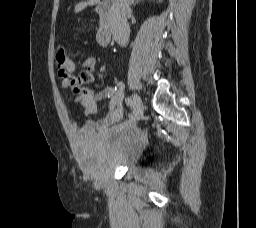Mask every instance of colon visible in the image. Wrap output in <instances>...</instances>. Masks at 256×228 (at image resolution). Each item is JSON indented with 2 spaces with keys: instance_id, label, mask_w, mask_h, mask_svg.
I'll return each mask as SVG.
<instances>
[{
  "instance_id": "colon-1",
  "label": "colon",
  "mask_w": 256,
  "mask_h": 228,
  "mask_svg": "<svg viewBox=\"0 0 256 228\" xmlns=\"http://www.w3.org/2000/svg\"><path fill=\"white\" fill-rule=\"evenodd\" d=\"M55 59H56L58 66H61L67 62V60L69 59V56L64 47L57 46L56 53H55ZM111 99H112V97H111Z\"/></svg>"
}]
</instances>
